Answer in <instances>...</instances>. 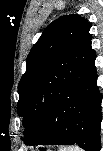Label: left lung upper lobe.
Segmentation results:
<instances>
[{
    "label": "left lung upper lobe",
    "instance_id": "left-lung-upper-lobe-1",
    "mask_svg": "<svg viewBox=\"0 0 103 151\" xmlns=\"http://www.w3.org/2000/svg\"><path fill=\"white\" fill-rule=\"evenodd\" d=\"M92 24L83 17L72 14L53 21L32 47L26 60V72L18 84L19 101L17 112L24 116L27 112L31 81L52 60L62 54L87 33ZM54 77V75H53Z\"/></svg>",
    "mask_w": 103,
    "mask_h": 151
}]
</instances>
